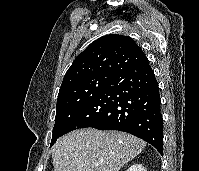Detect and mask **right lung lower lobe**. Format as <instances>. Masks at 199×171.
<instances>
[{"label":"right lung lower lobe","mask_w":199,"mask_h":171,"mask_svg":"<svg viewBox=\"0 0 199 171\" xmlns=\"http://www.w3.org/2000/svg\"><path fill=\"white\" fill-rule=\"evenodd\" d=\"M157 80L148 59L132 65L100 89L84 104L62 135L92 127L133 134L163 155V118Z\"/></svg>","instance_id":"98d812e1"}]
</instances>
